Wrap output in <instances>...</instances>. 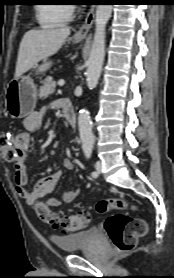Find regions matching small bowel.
Listing matches in <instances>:
<instances>
[{"instance_id": "1", "label": "small bowel", "mask_w": 174, "mask_h": 278, "mask_svg": "<svg viewBox=\"0 0 174 278\" xmlns=\"http://www.w3.org/2000/svg\"><path fill=\"white\" fill-rule=\"evenodd\" d=\"M45 116V108L31 113L24 120L25 131L15 136L12 145L15 151V159L13 161L15 171V189L18 196L28 205H33L39 198L51 193L64 172L63 169H58L40 179L32 189L27 188V156L31 146V133L38 131L42 127ZM63 168L66 170H72V162L69 159L64 160ZM79 193L80 185L73 190L65 191L62 194L61 199L49 198L43 204L46 207H58L62 203H71L77 198Z\"/></svg>"}]
</instances>
